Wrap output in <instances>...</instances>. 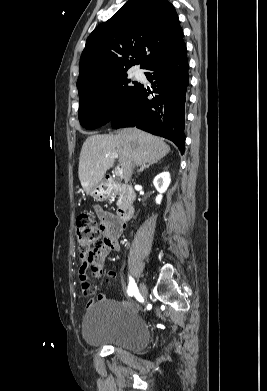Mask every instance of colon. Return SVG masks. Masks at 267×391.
<instances>
[{
  "label": "colon",
  "mask_w": 267,
  "mask_h": 391,
  "mask_svg": "<svg viewBox=\"0 0 267 391\" xmlns=\"http://www.w3.org/2000/svg\"><path fill=\"white\" fill-rule=\"evenodd\" d=\"M75 234L79 252L83 255H94L102 247L103 226L87 212L76 218Z\"/></svg>",
  "instance_id": "colon-1"
}]
</instances>
